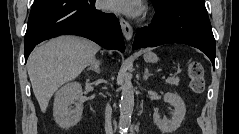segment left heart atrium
Returning a JSON list of instances; mask_svg holds the SVG:
<instances>
[{"mask_svg": "<svg viewBox=\"0 0 239 134\" xmlns=\"http://www.w3.org/2000/svg\"><path fill=\"white\" fill-rule=\"evenodd\" d=\"M107 5L109 9L128 16L138 15L142 10L140 2L137 0H109Z\"/></svg>", "mask_w": 239, "mask_h": 134, "instance_id": "1", "label": "left heart atrium"}]
</instances>
